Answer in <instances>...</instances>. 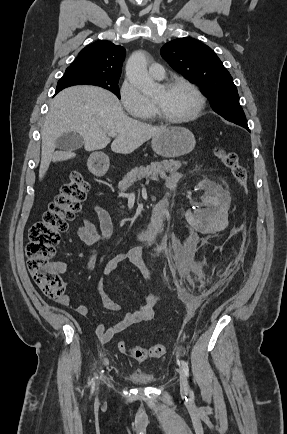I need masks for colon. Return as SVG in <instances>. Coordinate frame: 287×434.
Here are the masks:
<instances>
[{"instance_id": "colon-1", "label": "colon", "mask_w": 287, "mask_h": 434, "mask_svg": "<svg viewBox=\"0 0 287 434\" xmlns=\"http://www.w3.org/2000/svg\"><path fill=\"white\" fill-rule=\"evenodd\" d=\"M215 155L231 171L236 183L245 188L248 181L247 169L240 163L234 151L221 147L215 149ZM89 185L79 171H73L54 200L49 204L40 221L35 222L29 230L26 246L28 270L36 285L49 298L63 295L65 284L50 266L60 234L66 231L68 223L80 211L86 199ZM118 350L137 361L159 358L167 352L165 344H156L147 348L129 347L119 342Z\"/></svg>"}]
</instances>
